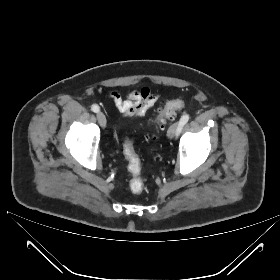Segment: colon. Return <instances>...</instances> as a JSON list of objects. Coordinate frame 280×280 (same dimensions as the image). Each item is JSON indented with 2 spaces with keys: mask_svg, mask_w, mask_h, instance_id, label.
Masks as SVG:
<instances>
[{
  "mask_svg": "<svg viewBox=\"0 0 280 280\" xmlns=\"http://www.w3.org/2000/svg\"><path fill=\"white\" fill-rule=\"evenodd\" d=\"M185 106L184 101L174 100L166 104V106L159 111L155 123L160 128L164 127L166 120L173 118L176 112ZM124 154L128 161V169L133 177L130 180L129 187L133 193H141L144 189V181L140 176L141 163L140 159L134 149L132 140L127 139L124 144Z\"/></svg>",
  "mask_w": 280,
  "mask_h": 280,
  "instance_id": "5ec220e1",
  "label": "colon"
}]
</instances>
